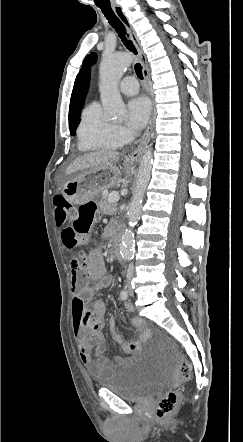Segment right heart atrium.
Instances as JSON below:
<instances>
[{"label": "right heart atrium", "mask_w": 243, "mask_h": 442, "mask_svg": "<svg viewBox=\"0 0 243 442\" xmlns=\"http://www.w3.org/2000/svg\"><path fill=\"white\" fill-rule=\"evenodd\" d=\"M115 132L120 139H127L129 137V133L121 126L115 127Z\"/></svg>", "instance_id": "d8ad5b80"}]
</instances>
